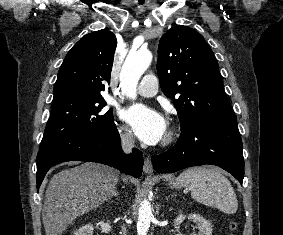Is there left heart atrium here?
<instances>
[{
  "label": "left heart atrium",
  "instance_id": "39dd6f15",
  "mask_svg": "<svg viewBox=\"0 0 283 235\" xmlns=\"http://www.w3.org/2000/svg\"><path fill=\"white\" fill-rule=\"evenodd\" d=\"M122 116L132 126L138 138L146 144L158 143L166 132L165 119L144 105L130 106L123 111Z\"/></svg>",
  "mask_w": 283,
  "mask_h": 235
}]
</instances>
